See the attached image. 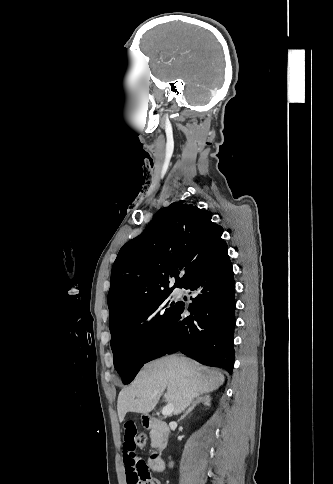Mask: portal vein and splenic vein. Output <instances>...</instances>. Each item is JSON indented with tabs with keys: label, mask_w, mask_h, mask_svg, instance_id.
I'll use <instances>...</instances> for the list:
<instances>
[{
	"label": "portal vein and splenic vein",
	"mask_w": 333,
	"mask_h": 484,
	"mask_svg": "<svg viewBox=\"0 0 333 484\" xmlns=\"http://www.w3.org/2000/svg\"><path fill=\"white\" fill-rule=\"evenodd\" d=\"M157 395V393H155ZM174 411V406L172 404H167L163 409H162V415L163 416H168L171 415Z\"/></svg>",
	"instance_id": "portal-vein-and-splenic-vein-1"
}]
</instances>
